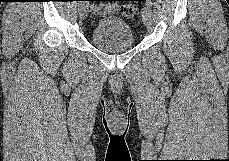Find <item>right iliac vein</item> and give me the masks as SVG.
Instances as JSON below:
<instances>
[{"label":"right iliac vein","instance_id":"1","mask_svg":"<svg viewBox=\"0 0 229 161\" xmlns=\"http://www.w3.org/2000/svg\"><path fill=\"white\" fill-rule=\"evenodd\" d=\"M79 15L82 20L87 17L88 14V5L86 3H80L78 7Z\"/></svg>","mask_w":229,"mask_h":161}]
</instances>
